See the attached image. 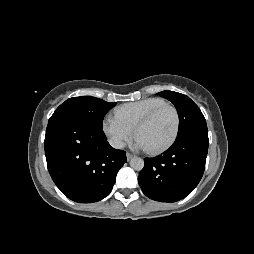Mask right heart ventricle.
<instances>
[{"label":"right heart ventricle","mask_w":254,"mask_h":254,"mask_svg":"<svg viewBox=\"0 0 254 254\" xmlns=\"http://www.w3.org/2000/svg\"><path fill=\"white\" fill-rule=\"evenodd\" d=\"M165 103L160 98H144L118 106L114 113L124 123L135 128L136 124L155 107Z\"/></svg>","instance_id":"1"}]
</instances>
